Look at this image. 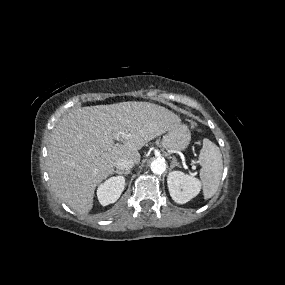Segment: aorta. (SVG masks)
<instances>
[{
    "mask_svg": "<svg viewBox=\"0 0 285 285\" xmlns=\"http://www.w3.org/2000/svg\"><path fill=\"white\" fill-rule=\"evenodd\" d=\"M151 171L154 173V174H157V175H161L165 172L166 170V163L163 159H155L152 161L151 163Z\"/></svg>",
    "mask_w": 285,
    "mask_h": 285,
    "instance_id": "aorta-1",
    "label": "aorta"
}]
</instances>
